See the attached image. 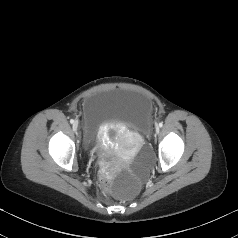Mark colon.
Returning <instances> with one entry per match:
<instances>
[{
  "mask_svg": "<svg viewBox=\"0 0 238 238\" xmlns=\"http://www.w3.org/2000/svg\"><path fill=\"white\" fill-rule=\"evenodd\" d=\"M111 180L108 177H102L100 179V185L103 189L107 190L110 187Z\"/></svg>",
  "mask_w": 238,
  "mask_h": 238,
  "instance_id": "obj_1",
  "label": "colon"
}]
</instances>
